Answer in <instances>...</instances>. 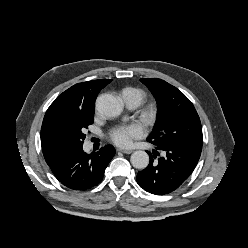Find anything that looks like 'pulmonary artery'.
<instances>
[{
    "instance_id": "obj_1",
    "label": "pulmonary artery",
    "mask_w": 248,
    "mask_h": 248,
    "mask_svg": "<svg viewBox=\"0 0 248 248\" xmlns=\"http://www.w3.org/2000/svg\"><path fill=\"white\" fill-rule=\"evenodd\" d=\"M122 98H123L126 106L130 109L137 108L141 103V101L131 93L122 94Z\"/></svg>"
}]
</instances>
